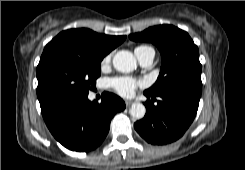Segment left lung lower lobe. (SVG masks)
Masks as SVG:
<instances>
[{
	"label": "left lung lower lobe",
	"instance_id": "obj_1",
	"mask_svg": "<svg viewBox=\"0 0 245 170\" xmlns=\"http://www.w3.org/2000/svg\"><path fill=\"white\" fill-rule=\"evenodd\" d=\"M144 94L147 96L146 114L134 124L136 131L151 144H168L179 139L196 116L201 94L187 89ZM156 97L162 100L154 105Z\"/></svg>",
	"mask_w": 245,
	"mask_h": 170
}]
</instances>
